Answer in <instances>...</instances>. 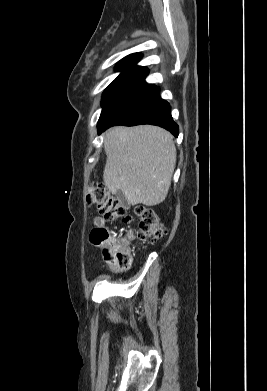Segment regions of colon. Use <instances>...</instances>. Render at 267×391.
<instances>
[{"mask_svg": "<svg viewBox=\"0 0 267 391\" xmlns=\"http://www.w3.org/2000/svg\"><path fill=\"white\" fill-rule=\"evenodd\" d=\"M86 201L108 221L114 222L121 219L130 221L133 219L128 215L124 204L112 196L102 183L96 182L88 186ZM135 215L137 229L127 230L122 236L112 235L109 229L104 226L94 228L90 234V241L93 245L107 244L103 251L105 260L122 270L131 267L132 256L129 244L134 238L156 241L164 235V227L154 210L138 206L135 209Z\"/></svg>", "mask_w": 267, "mask_h": 391, "instance_id": "1", "label": "colon"}]
</instances>
